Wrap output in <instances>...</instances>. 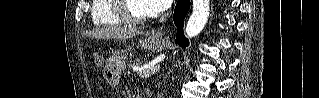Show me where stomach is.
I'll use <instances>...</instances> for the list:
<instances>
[{"label":"stomach","instance_id":"obj_1","mask_svg":"<svg viewBox=\"0 0 319 98\" xmlns=\"http://www.w3.org/2000/svg\"><path fill=\"white\" fill-rule=\"evenodd\" d=\"M168 45L165 38L160 35L149 33L145 40L140 42L141 48L152 52H161ZM118 59L111 67L105 68L104 78L111 86H115L119 83L121 72L125 68L128 53L123 51L118 52Z\"/></svg>","mask_w":319,"mask_h":98}]
</instances>
